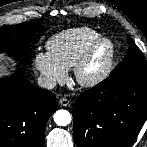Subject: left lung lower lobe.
I'll list each match as a JSON object with an SVG mask.
<instances>
[{
	"mask_svg": "<svg viewBox=\"0 0 147 147\" xmlns=\"http://www.w3.org/2000/svg\"><path fill=\"white\" fill-rule=\"evenodd\" d=\"M147 118V75L124 72L83 92L74 104L78 147H129Z\"/></svg>",
	"mask_w": 147,
	"mask_h": 147,
	"instance_id": "1",
	"label": "left lung lower lobe"
}]
</instances>
